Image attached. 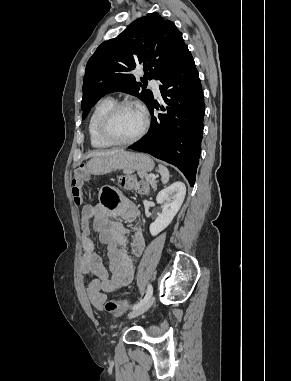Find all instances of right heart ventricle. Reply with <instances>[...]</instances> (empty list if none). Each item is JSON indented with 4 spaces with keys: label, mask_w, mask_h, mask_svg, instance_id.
I'll use <instances>...</instances> for the list:
<instances>
[{
    "label": "right heart ventricle",
    "mask_w": 291,
    "mask_h": 381,
    "mask_svg": "<svg viewBox=\"0 0 291 381\" xmlns=\"http://www.w3.org/2000/svg\"><path fill=\"white\" fill-rule=\"evenodd\" d=\"M111 98H103L95 105L88 123V134L91 146L96 149L109 148L112 145L106 142L99 134L98 124L103 114L114 105Z\"/></svg>",
    "instance_id": "right-heart-ventricle-1"
}]
</instances>
